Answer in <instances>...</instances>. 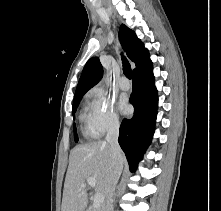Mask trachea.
<instances>
[{
	"label": "trachea",
	"mask_w": 221,
	"mask_h": 211,
	"mask_svg": "<svg viewBox=\"0 0 221 211\" xmlns=\"http://www.w3.org/2000/svg\"><path fill=\"white\" fill-rule=\"evenodd\" d=\"M122 63H123V73L124 75L128 78L131 79L132 71H131V66L128 63L127 59L122 56Z\"/></svg>",
	"instance_id": "trachea-1"
}]
</instances>
